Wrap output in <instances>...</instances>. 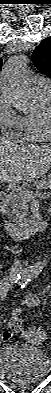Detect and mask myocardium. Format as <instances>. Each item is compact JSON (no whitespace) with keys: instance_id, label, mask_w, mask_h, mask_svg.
Instances as JSON below:
<instances>
[{"instance_id":"myocardium-1","label":"myocardium","mask_w":51,"mask_h":393,"mask_svg":"<svg viewBox=\"0 0 51 393\" xmlns=\"http://www.w3.org/2000/svg\"><path fill=\"white\" fill-rule=\"evenodd\" d=\"M42 118L45 128L51 130V101L46 105L42 111Z\"/></svg>"}]
</instances>
